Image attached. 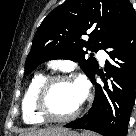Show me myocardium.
Here are the masks:
<instances>
[{"label": "myocardium", "instance_id": "myocardium-1", "mask_svg": "<svg viewBox=\"0 0 136 136\" xmlns=\"http://www.w3.org/2000/svg\"><path fill=\"white\" fill-rule=\"evenodd\" d=\"M56 82H74L73 79L64 74H55L47 76L41 85L39 86L34 100V108L36 113L44 120L55 123H65L74 120L79 116L82 111V101L77 109L67 116H55L53 115L47 107V97L50 88Z\"/></svg>", "mask_w": 136, "mask_h": 136}]
</instances>
